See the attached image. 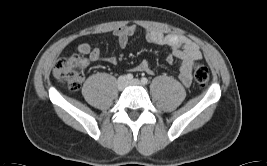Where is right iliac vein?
<instances>
[{"label":"right iliac vein","mask_w":267,"mask_h":166,"mask_svg":"<svg viewBox=\"0 0 267 166\" xmlns=\"http://www.w3.org/2000/svg\"><path fill=\"white\" fill-rule=\"evenodd\" d=\"M119 81H120L119 88H123V86H124V77H121Z\"/></svg>","instance_id":"1"}]
</instances>
